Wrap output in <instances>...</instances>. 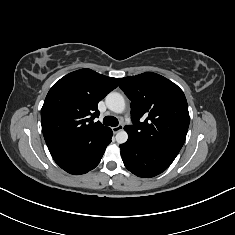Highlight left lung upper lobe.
<instances>
[{
	"label": "left lung upper lobe",
	"mask_w": 235,
	"mask_h": 235,
	"mask_svg": "<svg viewBox=\"0 0 235 235\" xmlns=\"http://www.w3.org/2000/svg\"><path fill=\"white\" fill-rule=\"evenodd\" d=\"M131 100L133 125L125 126L128 137L176 157L189 127L188 105L183 91L167 78L152 72L118 78Z\"/></svg>",
	"instance_id": "obj_1"
}]
</instances>
